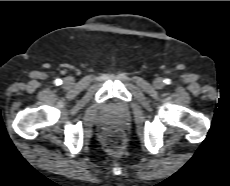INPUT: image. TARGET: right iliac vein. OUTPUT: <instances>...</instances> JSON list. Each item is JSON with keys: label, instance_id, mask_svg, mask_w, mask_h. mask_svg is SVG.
<instances>
[{"label": "right iliac vein", "instance_id": "63e3f726", "mask_svg": "<svg viewBox=\"0 0 230 186\" xmlns=\"http://www.w3.org/2000/svg\"><path fill=\"white\" fill-rule=\"evenodd\" d=\"M74 80L72 77H67L64 79L63 84L64 86H71L73 84Z\"/></svg>", "mask_w": 230, "mask_h": 186}]
</instances>
